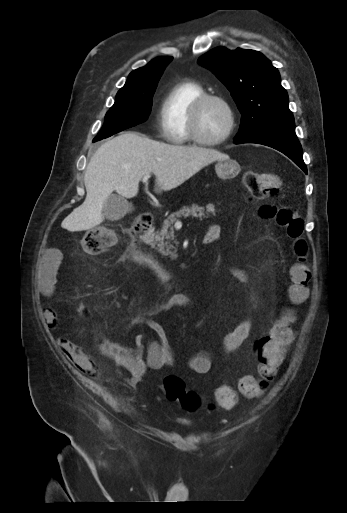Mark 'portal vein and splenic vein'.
Instances as JSON below:
<instances>
[{"label":"portal vein and splenic vein","mask_w":347,"mask_h":513,"mask_svg":"<svg viewBox=\"0 0 347 513\" xmlns=\"http://www.w3.org/2000/svg\"><path fill=\"white\" fill-rule=\"evenodd\" d=\"M149 177H150V175H149V174H146V175L143 177V182H146V181L148 180V178H149ZM181 225H182V222H181V221L177 220V221L175 222V226H181Z\"/></svg>","instance_id":"1"}]
</instances>
